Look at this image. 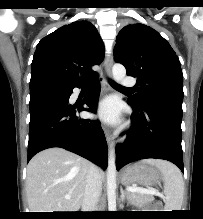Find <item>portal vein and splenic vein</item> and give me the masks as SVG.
I'll use <instances>...</instances> for the list:
<instances>
[{"mask_svg": "<svg viewBox=\"0 0 203 219\" xmlns=\"http://www.w3.org/2000/svg\"><path fill=\"white\" fill-rule=\"evenodd\" d=\"M127 191L129 192H138L142 194H159V192L155 189H145V188H140V187H127ZM71 197L69 195L65 196V199H70Z\"/></svg>", "mask_w": 203, "mask_h": 219, "instance_id": "portal-vein-and-splenic-vein-1", "label": "portal vein and splenic vein"}]
</instances>
